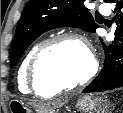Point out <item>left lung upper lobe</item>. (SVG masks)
<instances>
[{
    "instance_id": "left-lung-upper-lobe-1",
    "label": "left lung upper lobe",
    "mask_w": 123,
    "mask_h": 113,
    "mask_svg": "<svg viewBox=\"0 0 123 113\" xmlns=\"http://www.w3.org/2000/svg\"><path fill=\"white\" fill-rule=\"evenodd\" d=\"M84 3L85 0H30L24 7L16 27L10 67L17 63L22 53L36 38L48 30L77 27L95 32L98 26Z\"/></svg>"
}]
</instances>
